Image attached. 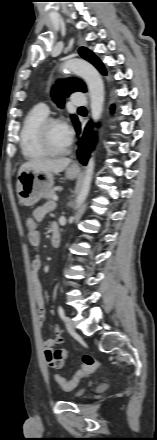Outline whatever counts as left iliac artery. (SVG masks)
Masks as SVG:
<instances>
[{
  "mask_svg": "<svg viewBox=\"0 0 157 440\" xmlns=\"http://www.w3.org/2000/svg\"><path fill=\"white\" fill-rule=\"evenodd\" d=\"M58 313H59L60 318H61L62 320H65V312H64V309H63L62 306H59V307H58Z\"/></svg>",
  "mask_w": 157,
  "mask_h": 440,
  "instance_id": "obj_1",
  "label": "left iliac artery"
}]
</instances>
